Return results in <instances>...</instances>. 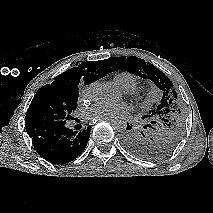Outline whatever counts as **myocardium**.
Masks as SVG:
<instances>
[{
    "label": "myocardium",
    "mask_w": 213,
    "mask_h": 213,
    "mask_svg": "<svg viewBox=\"0 0 213 213\" xmlns=\"http://www.w3.org/2000/svg\"><path fill=\"white\" fill-rule=\"evenodd\" d=\"M125 94L136 104L140 106H147L149 103V100L144 95V93L139 89H132L129 91H125Z\"/></svg>",
    "instance_id": "myocardium-1"
}]
</instances>
